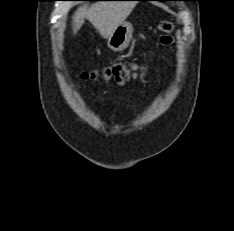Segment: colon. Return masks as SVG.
<instances>
[{
	"label": "colon",
	"instance_id": "obj_1",
	"mask_svg": "<svg viewBox=\"0 0 234 231\" xmlns=\"http://www.w3.org/2000/svg\"><path fill=\"white\" fill-rule=\"evenodd\" d=\"M165 31H167L169 29L168 25L164 26ZM161 41L164 44H170L171 43V37H169L168 35H163L161 37ZM131 66L127 63H117L111 66H108L106 69H104L103 71V76L108 78V79H113L116 82H121L123 80H125L128 77V69ZM137 68V67H134ZM85 77H95V73L92 74H86Z\"/></svg>",
	"mask_w": 234,
	"mask_h": 231
}]
</instances>
